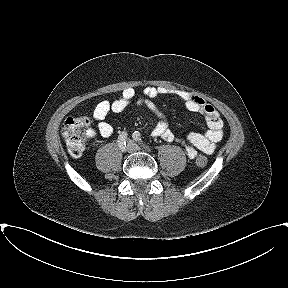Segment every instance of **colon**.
<instances>
[{"instance_id": "colon-1", "label": "colon", "mask_w": 288, "mask_h": 288, "mask_svg": "<svg viewBox=\"0 0 288 288\" xmlns=\"http://www.w3.org/2000/svg\"><path fill=\"white\" fill-rule=\"evenodd\" d=\"M91 127V120L86 116H76L67 118L62 125V136L66 142L69 154L78 158L82 155ZM196 165L205 167L208 163L207 157L199 155Z\"/></svg>"}]
</instances>
